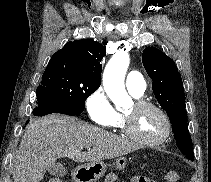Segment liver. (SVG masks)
<instances>
[{
    "label": "liver",
    "mask_w": 211,
    "mask_h": 182,
    "mask_svg": "<svg viewBox=\"0 0 211 182\" xmlns=\"http://www.w3.org/2000/svg\"><path fill=\"white\" fill-rule=\"evenodd\" d=\"M83 148H92L82 152ZM138 146L115 134L59 113L34 120L20 142L13 165L14 182H40L59 158L100 162L128 154Z\"/></svg>",
    "instance_id": "6515ba94"
}]
</instances>
